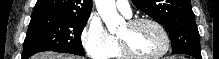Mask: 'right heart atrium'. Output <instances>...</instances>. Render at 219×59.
Listing matches in <instances>:
<instances>
[{"label":"right heart atrium","mask_w":219,"mask_h":59,"mask_svg":"<svg viewBox=\"0 0 219 59\" xmlns=\"http://www.w3.org/2000/svg\"><path fill=\"white\" fill-rule=\"evenodd\" d=\"M86 54L92 59L109 58L116 47V39L97 17H90L81 34Z\"/></svg>","instance_id":"obj_1"}]
</instances>
